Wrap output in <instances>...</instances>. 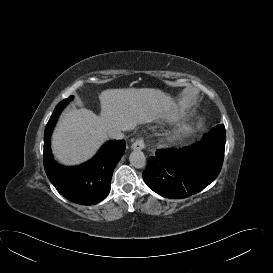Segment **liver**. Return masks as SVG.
Instances as JSON below:
<instances>
[{
    "label": "liver",
    "instance_id": "1",
    "mask_svg": "<svg viewBox=\"0 0 273 273\" xmlns=\"http://www.w3.org/2000/svg\"><path fill=\"white\" fill-rule=\"evenodd\" d=\"M99 100L100 115L81 108L61 116L52 135V151L61 163L88 160L108 139L110 130L126 131L150 123L174 106L170 96L151 88L107 89Z\"/></svg>",
    "mask_w": 273,
    "mask_h": 273
}]
</instances>
